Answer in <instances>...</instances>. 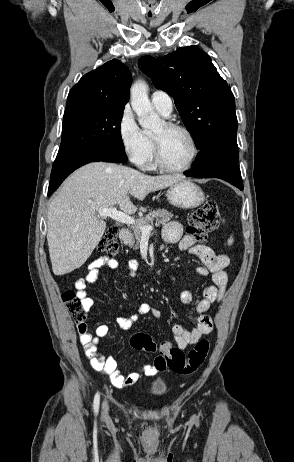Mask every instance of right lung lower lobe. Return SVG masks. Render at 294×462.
Masks as SVG:
<instances>
[{"instance_id": "98d812e1", "label": "right lung lower lobe", "mask_w": 294, "mask_h": 462, "mask_svg": "<svg viewBox=\"0 0 294 462\" xmlns=\"http://www.w3.org/2000/svg\"><path fill=\"white\" fill-rule=\"evenodd\" d=\"M128 160L124 150L116 148H103L88 151H78L57 156L50 176L48 196H50L77 168L95 161L104 162H126Z\"/></svg>"}]
</instances>
